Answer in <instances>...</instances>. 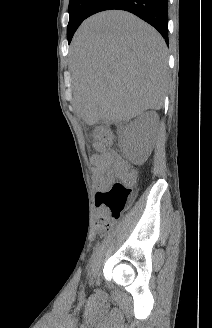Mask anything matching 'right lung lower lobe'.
Returning <instances> with one entry per match:
<instances>
[{
  "mask_svg": "<svg viewBox=\"0 0 212 328\" xmlns=\"http://www.w3.org/2000/svg\"><path fill=\"white\" fill-rule=\"evenodd\" d=\"M124 10L152 25L168 44V0H96L87 17L105 10Z\"/></svg>",
  "mask_w": 212,
  "mask_h": 328,
  "instance_id": "1",
  "label": "right lung lower lobe"
}]
</instances>
